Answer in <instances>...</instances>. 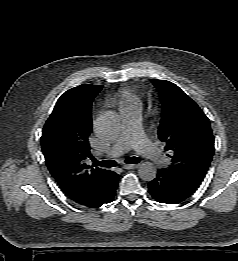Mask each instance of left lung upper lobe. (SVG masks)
Masks as SVG:
<instances>
[{"label": "left lung upper lobe", "instance_id": "obj_1", "mask_svg": "<svg viewBox=\"0 0 238 261\" xmlns=\"http://www.w3.org/2000/svg\"><path fill=\"white\" fill-rule=\"evenodd\" d=\"M161 98L159 139L166 144L172 164L167 168L177 178L198 187L214 154L209 119L178 86L153 79Z\"/></svg>", "mask_w": 238, "mask_h": 261}]
</instances>
